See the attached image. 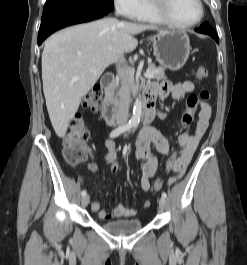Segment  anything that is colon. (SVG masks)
Masks as SVG:
<instances>
[{"mask_svg":"<svg viewBox=\"0 0 247 265\" xmlns=\"http://www.w3.org/2000/svg\"><path fill=\"white\" fill-rule=\"evenodd\" d=\"M208 77V71L204 67L197 70V78L204 80ZM211 95L209 91L202 90L198 96L188 99L186 110L183 113L180 126L188 127L191 125L194 114L199 105L207 102ZM102 104V89L99 86L94 87L83 99V106L87 109L97 110ZM89 139V130L84 123L81 115H75L69 122L68 131L63 138V157L70 166L79 165L86 157L85 143ZM177 154L171 153L166 161L163 174L158 177L152 189L160 190L171 172H174V166L177 161Z\"/></svg>","mask_w":247,"mask_h":265,"instance_id":"colon-1","label":"colon"}]
</instances>
